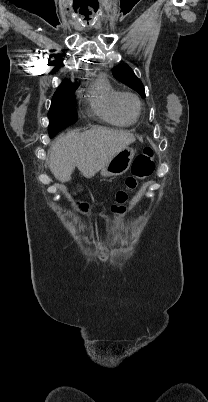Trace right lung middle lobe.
I'll list each match as a JSON object with an SVG mask.
<instances>
[{
	"mask_svg": "<svg viewBox=\"0 0 208 402\" xmlns=\"http://www.w3.org/2000/svg\"><path fill=\"white\" fill-rule=\"evenodd\" d=\"M73 92L56 95L52 99L48 113L49 123L61 122L69 126L77 121V111L75 108V98Z\"/></svg>",
	"mask_w": 208,
	"mask_h": 402,
	"instance_id": "1",
	"label": "right lung middle lobe"
}]
</instances>
